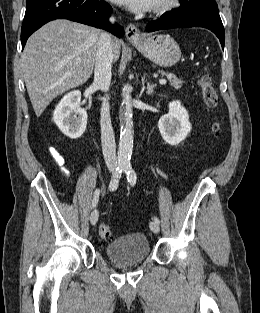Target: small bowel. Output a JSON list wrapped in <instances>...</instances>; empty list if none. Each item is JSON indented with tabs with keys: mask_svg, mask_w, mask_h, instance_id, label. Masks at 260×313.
Returning a JSON list of instances; mask_svg holds the SVG:
<instances>
[{
	"mask_svg": "<svg viewBox=\"0 0 260 313\" xmlns=\"http://www.w3.org/2000/svg\"><path fill=\"white\" fill-rule=\"evenodd\" d=\"M50 154L51 156L56 160V162L58 164H62L63 163V159L60 156L59 152L57 150H55L54 148L50 149ZM64 175L67 179H70V173L67 170H64Z\"/></svg>",
	"mask_w": 260,
	"mask_h": 313,
	"instance_id": "small-bowel-1",
	"label": "small bowel"
}]
</instances>
